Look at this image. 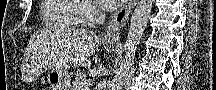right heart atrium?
Returning <instances> with one entry per match:
<instances>
[{
    "instance_id": "right-heart-atrium-1",
    "label": "right heart atrium",
    "mask_w": 216,
    "mask_h": 90,
    "mask_svg": "<svg viewBox=\"0 0 216 90\" xmlns=\"http://www.w3.org/2000/svg\"><path fill=\"white\" fill-rule=\"evenodd\" d=\"M96 14L97 12L95 9H89L85 13V20H95Z\"/></svg>"
}]
</instances>
